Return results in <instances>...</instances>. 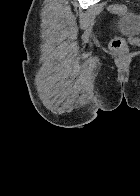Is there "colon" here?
<instances>
[{"instance_id":"1","label":"colon","mask_w":140,"mask_h":196,"mask_svg":"<svg viewBox=\"0 0 140 196\" xmlns=\"http://www.w3.org/2000/svg\"><path fill=\"white\" fill-rule=\"evenodd\" d=\"M109 11L114 14L115 16L111 19V23L113 26H116L118 23V16L121 14H124L126 12H128V8L127 6L123 5V4H119V3H115L109 6ZM111 50L112 52L120 57V58H124L127 55V51H128V47H127V43L126 40L119 35L118 33H116L114 35V37L112 38L111 42Z\"/></svg>"}]
</instances>
